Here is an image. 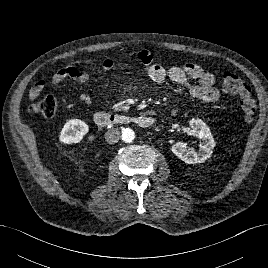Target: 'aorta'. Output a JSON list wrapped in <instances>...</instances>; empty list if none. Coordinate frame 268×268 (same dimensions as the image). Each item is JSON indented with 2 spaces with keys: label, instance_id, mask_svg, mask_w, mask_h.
<instances>
[{
  "label": "aorta",
  "instance_id": "obj_1",
  "mask_svg": "<svg viewBox=\"0 0 268 268\" xmlns=\"http://www.w3.org/2000/svg\"><path fill=\"white\" fill-rule=\"evenodd\" d=\"M135 138V133L131 129H124L122 132V140L126 143H131Z\"/></svg>",
  "mask_w": 268,
  "mask_h": 268
}]
</instances>
